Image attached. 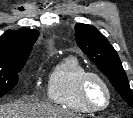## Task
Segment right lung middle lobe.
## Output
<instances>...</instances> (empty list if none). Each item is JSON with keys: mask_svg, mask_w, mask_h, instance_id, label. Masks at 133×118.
Here are the masks:
<instances>
[{"mask_svg": "<svg viewBox=\"0 0 133 118\" xmlns=\"http://www.w3.org/2000/svg\"><path fill=\"white\" fill-rule=\"evenodd\" d=\"M24 63L13 65H0V97L4 96L18 83V73L24 67Z\"/></svg>", "mask_w": 133, "mask_h": 118, "instance_id": "1", "label": "right lung middle lobe"}]
</instances>
